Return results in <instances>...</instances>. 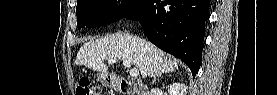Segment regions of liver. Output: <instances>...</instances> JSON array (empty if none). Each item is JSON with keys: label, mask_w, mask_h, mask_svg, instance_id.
Listing matches in <instances>:
<instances>
[{"label": "liver", "mask_w": 277, "mask_h": 95, "mask_svg": "<svg viewBox=\"0 0 277 95\" xmlns=\"http://www.w3.org/2000/svg\"><path fill=\"white\" fill-rule=\"evenodd\" d=\"M109 59L129 61L144 78H154L178 69L176 61L149 41L121 32L84 43L77 53L75 64L105 74L108 66L104 60Z\"/></svg>", "instance_id": "obj_1"}]
</instances>
